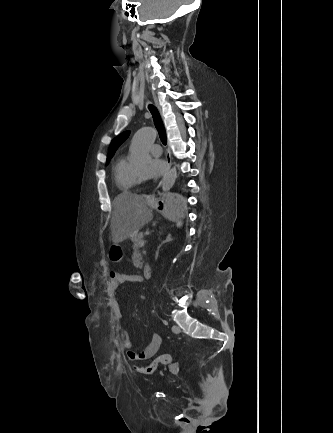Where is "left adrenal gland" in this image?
Listing matches in <instances>:
<instances>
[{
	"instance_id": "obj_1",
	"label": "left adrenal gland",
	"mask_w": 333,
	"mask_h": 433,
	"mask_svg": "<svg viewBox=\"0 0 333 433\" xmlns=\"http://www.w3.org/2000/svg\"><path fill=\"white\" fill-rule=\"evenodd\" d=\"M172 240H173L172 235H171V234H168L167 237H166V239H165L163 242H161V244L158 246L157 251H156V254L158 253L159 249L161 248V246H162L163 244H165V243H167V242H171Z\"/></svg>"
}]
</instances>
